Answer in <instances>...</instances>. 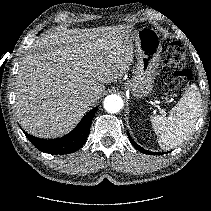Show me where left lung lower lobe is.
Here are the masks:
<instances>
[{
	"label": "left lung lower lobe",
	"instance_id": "left-lung-lower-lobe-1",
	"mask_svg": "<svg viewBox=\"0 0 211 211\" xmlns=\"http://www.w3.org/2000/svg\"><path fill=\"white\" fill-rule=\"evenodd\" d=\"M128 137H129V140H130V142H131V144L137 149V150H139L140 152H142V153H145V154H150V155H159V154H164V153H154V152H150V151H147V150H144L142 147H140L138 144H136L133 140H132V138H131V136L128 134Z\"/></svg>",
	"mask_w": 211,
	"mask_h": 211
}]
</instances>
